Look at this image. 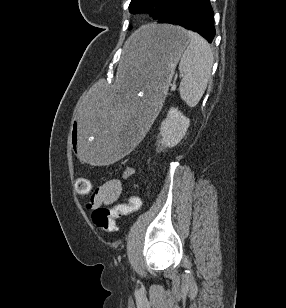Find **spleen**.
Returning a JSON list of instances; mask_svg holds the SVG:
<instances>
[{
  "instance_id": "3e777b00",
  "label": "spleen",
  "mask_w": 286,
  "mask_h": 308,
  "mask_svg": "<svg viewBox=\"0 0 286 308\" xmlns=\"http://www.w3.org/2000/svg\"><path fill=\"white\" fill-rule=\"evenodd\" d=\"M190 44L179 63L182 73L180 97L189 106L195 107L203 96L213 65V53L207 41L193 31H187Z\"/></svg>"
}]
</instances>
